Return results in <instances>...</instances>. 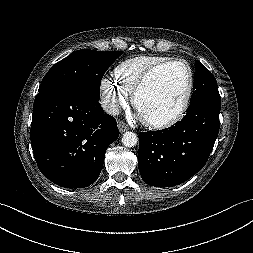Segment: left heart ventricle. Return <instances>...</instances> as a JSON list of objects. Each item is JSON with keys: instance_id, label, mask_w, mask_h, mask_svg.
Returning a JSON list of instances; mask_svg holds the SVG:
<instances>
[{"instance_id": "obj_1", "label": "left heart ventricle", "mask_w": 253, "mask_h": 253, "mask_svg": "<svg viewBox=\"0 0 253 253\" xmlns=\"http://www.w3.org/2000/svg\"><path fill=\"white\" fill-rule=\"evenodd\" d=\"M188 85V74L181 65L158 71L140 93L136 110L143 120L170 118L180 109Z\"/></svg>"}]
</instances>
